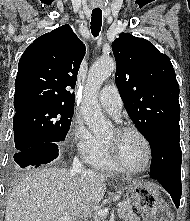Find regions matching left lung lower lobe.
Wrapping results in <instances>:
<instances>
[{"label":"left lung lower lobe","mask_w":190,"mask_h":221,"mask_svg":"<svg viewBox=\"0 0 190 221\" xmlns=\"http://www.w3.org/2000/svg\"><path fill=\"white\" fill-rule=\"evenodd\" d=\"M180 130H166L156 134L150 141L152 160L150 177L171 195L176 207L181 198V148Z\"/></svg>","instance_id":"0a47b994"}]
</instances>
